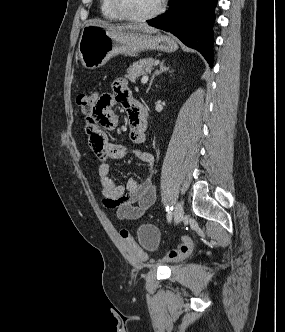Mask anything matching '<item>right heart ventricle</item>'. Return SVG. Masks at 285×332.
Masks as SVG:
<instances>
[{
	"instance_id": "e07e8e85",
	"label": "right heart ventricle",
	"mask_w": 285,
	"mask_h": 332,
	"mask_svg": "<svg viewBox=\"0 0 285 332\" xmlns=\"http://www.w3.org/2000/svg\"><path fill=\"white\" fill-rule=\"evenodd\" d=\"M100 11L104 19L109 21H119L122 18L114 11L110 0H100Z\"/></svg>"
}]
</instances>
